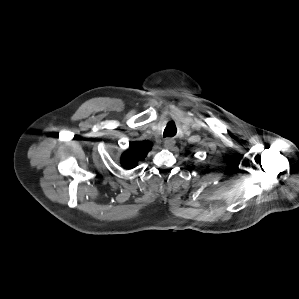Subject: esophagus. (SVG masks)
Returning <instances> with one entry per match:
<instances>
[{"mask_svg": "<svg viewBox=\"0 0 299 299\" xmlns=\"http://www.w3.org/2000/svg\"><path fill=\"white\" fill-rule=\"evenodd\" d=\"M174 144H175V141L172 138H166L164 141V145L168 149L172 148L174 146Z\"/></svg>", "mask_w": 299, "mask_h": 299, "instance_id": "34e87169", "label": "esophagus"}]
</instances>
